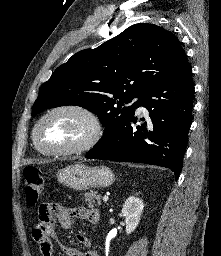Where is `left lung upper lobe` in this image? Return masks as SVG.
I'll list each match as a JSON object with an SVG mask.
<instances>
[{
	"label": "left lung upper lobe",
	"mask_w": 221,
	"mask_h": 256,
	"mask_svg": "<svg viewBox=\"0 0 221 256\" xmlns=\"http://www.w3.org/2000/svg\"><path fill=\"white\" fill-rule=\"evenodd\" d=\"M186 63L172 32L154 24H134L59 66L41 86L31 115L58 106H81L98 115L105 134L128 121L144 96ZM135 98L138 101L131 104Z\"/></svg>",
	"instance_id": "1"
}]
</instances>
